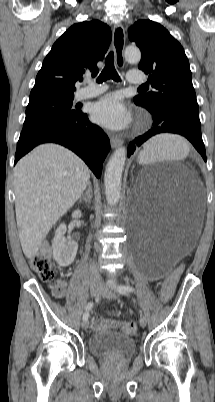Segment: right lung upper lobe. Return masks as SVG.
<instances>
[{"label":"right lung upper lobe","instance_id":"1","mask_svg":"<svg viewBox=\"0 0 215 402\" xmlns=\"http://www.w3.org/2000/svg\"><path fill=\"white\" fill-rule=\"evenodd\" d=\"M111 42L110 28L99 20L72 25L53 45L37 74L30 99L73 95L75 82L86 72L98 73Z\"/></svg>","mask_w":215,"mask_h":402}]
</instances>
